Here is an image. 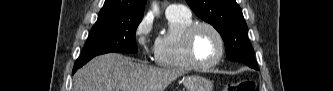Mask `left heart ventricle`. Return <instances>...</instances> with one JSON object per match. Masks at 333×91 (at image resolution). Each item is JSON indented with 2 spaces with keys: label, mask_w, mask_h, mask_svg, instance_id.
<instances>
[{
  "label": "left heart ventricle",
  "mask_w": 333,
  "mask_h": 91,
  "mask_svg": "<svg viewBox=\"0 0 333 91\" xmlns=\"http://www.w3.org/2000/svg\"><path fill=\"white\" fill-rule=\"evenodd\" d=\"M219 41L215 34L207 28L200 29L194 39L196 58L202 63L214 61L219 54Z\"/></svg>",
  "instance_id": "left-heart-ventricle-1"
}]
</instances>
